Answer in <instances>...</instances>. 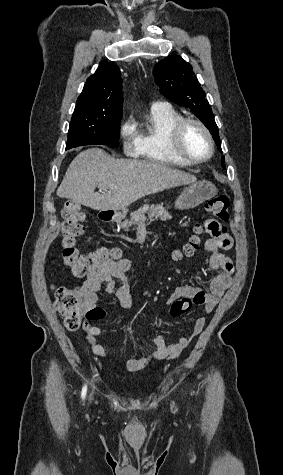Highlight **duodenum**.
Returning <instances> with one entry per match:
<instances>
[{"label": "duodenum", "mask_w": 283, "mask_h": 475, "mask_svg": "<svg viewBox=\"0 0 283 475\" xmlns=\"http://www.w3.org/2000/svg\"><path fill=\"white\" fill-rule=\"evenodd\" d=\"M113 218V213L108 211V212H104L103 215H102V219L105 220V221H110L112 220Z\"/></svg>", "instance_id": "410a0bca"}]
</instances>
